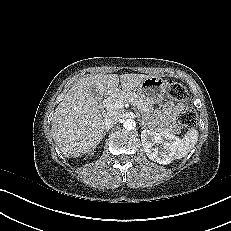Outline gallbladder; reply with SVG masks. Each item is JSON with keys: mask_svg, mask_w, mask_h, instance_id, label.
<instances>
[{"mask_svg": "<svg viewBox=\"0 0 231 231\" xmlns=\"http://www.w3.org/2000/svg\"><path fill=\"white\" fill-rule=\"evenodd\" d=\"M92 93L96 100L100 99V94L95 90V88H92Z\"/></svg>", "mask_w": 231, "mask_h": 231, "instance_id": "1", "label": "gallbladder"}]
</instances>
